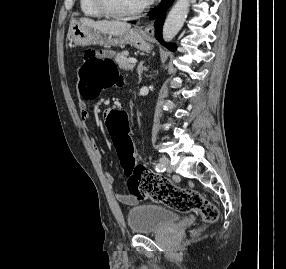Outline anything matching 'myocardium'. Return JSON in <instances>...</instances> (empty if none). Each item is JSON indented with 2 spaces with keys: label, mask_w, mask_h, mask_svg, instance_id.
Listing matches in <instances>:
<instances>
[{
  "label": "myocardium",
  "mask_w": 286,
  "mask_h": 269,
  "mask_svg": "<svg viewBox=\"0 0 286 269\" xmlns=\"http://www.w3.org/2000/svg\"><path fill=\"white\" fill-rule=\"evenodd\" d=\"M96 7L98 10L106 17L114 18V19H128L136 17L142 14L149 6V3H145L141 7L136 10L130 12H120L115 10L109 3L108 0H94Z\"/></svg>",
  "instance_id": "myocardium-1"
}]
</instances>
